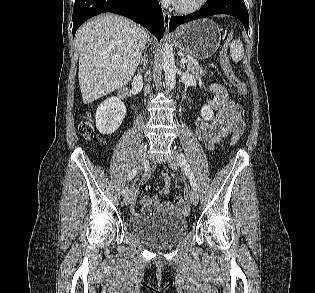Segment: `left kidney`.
Listing matches in <instances>:
<instances>
[{"instance_id":"left-kidney-1","label":"left kidney","mask_w":315,"mask_h":293,"mask_svg":"<svg viewBox=\"0 0 315 293\" xmlns=\"http://www.w3.org/2000/svg\"><path fill=\"white\" fill-rule=\"evenodd\" d=\"M201 116L205 121H209L213 118V110L210 105H204L201 109Z\"/></svg>"}]
</instances>
